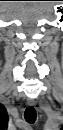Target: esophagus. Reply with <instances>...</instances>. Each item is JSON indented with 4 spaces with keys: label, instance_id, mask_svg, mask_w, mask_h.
Segmentation results:
<instances>
[{
    "label": "esophagus",
    "instance_id": "34e87169",
    "mask_svg": "<svg viewBox=\"0 0 63 130\" xmlns=\"http://www.w3.org/2000/svg\"><path fill=\"white\" fill-rule=\"evenodd\" d=\"M27 103L30 106H34L36 104V101L34 99H28Z\"/></svg>",
    "mask_w": 63,
    "mask_h": 130
}]
</instances>
